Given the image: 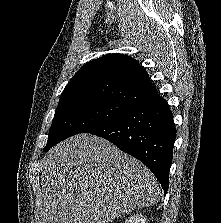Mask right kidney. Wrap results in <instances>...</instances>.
Wrapping results in <instances>:
<instances>
[{
	"mask_svg": "<svg viewBox=\"0 0 221 223\" xmlns=\"http://www.w3.org/2000/svg\"><path fill=\"white\" fill-rule=\"evenodd\" d=\"M146 219L140 214H134L125 220L124 223H145Z\"/></svg>",
	"mask_w": 221,
	"mask_h": 223,
	"instance_id": "right-kidney-1",
	"label": "right kidney"
}]
</instances>
